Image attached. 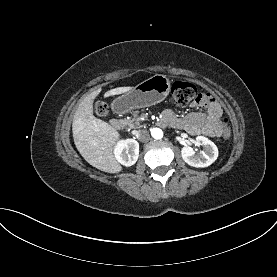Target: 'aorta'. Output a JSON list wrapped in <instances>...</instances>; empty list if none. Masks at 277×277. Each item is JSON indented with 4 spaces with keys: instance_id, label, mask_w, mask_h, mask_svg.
I'll return each instance as SVG.
<instances>
[{
    "instance_id": "aorta-1",
    "label": "aorta",
    "mask_w": 277,
    "mask_h": 277,
    "mask_svg": "<svg viewBox=\"0 0 277 277\" xmlns=\"http://www.w3.org/2000/svg\"><path fill=\"white\" fill-rule=\"evenodd\" d=\"M151 134L154 139H161L163 137V131L160 128H153Z\"/></svg>"
}]
</instances>
